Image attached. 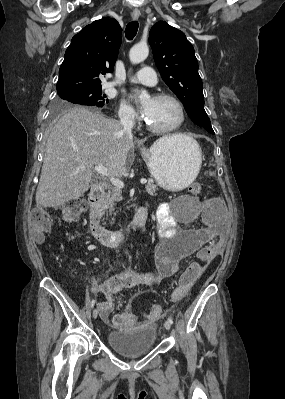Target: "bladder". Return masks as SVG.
<instances>
[{"label": "bladder", "mask_w": 285, "mask_h": 399, "mask_svg": "<svg viewBox=\"0 0 285 399\" xmlns=\"http://www.w3.org/2000/svg\"><path fill=\"white\" fill-rule=\"evenodd\" d=\"M193 198L181 196L177 202H189ZM108 346L125 358H136L150 352L156 342V330L150 326L136 327L123 332H110L106 336Z\"/></svg>", "instance_id": "obj_1"}]
</instances>
